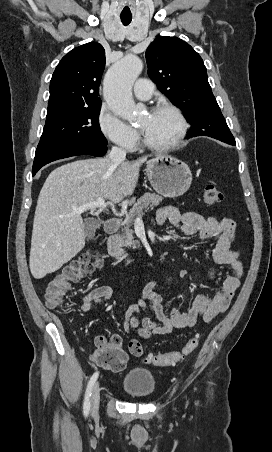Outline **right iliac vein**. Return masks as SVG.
I'll return each instance as SVG.
<instances>
[{"instance_id":"63e3f726","label":"right iliac vein","mask_w":272,"mask_h":452,"mask_svg":"<svg viewBox=\"0 0 272 452\" xmlns=\"http://www.w3.org/2000/svg\"><path fill=\"white\" fill-rule=\"evenodd\" d=\"M99 402H100V384H99V382H97L93 387L92 396H91L92 413H96L98 411Z\"/></svg>"}]
</instances>
